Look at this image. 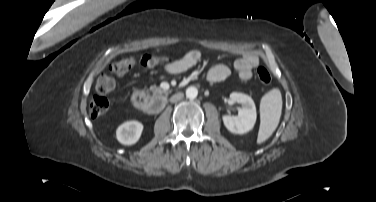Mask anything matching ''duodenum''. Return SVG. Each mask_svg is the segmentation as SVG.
Returning <instances> with one entry per match:
<instances>
[{"mask_svg": "<svg viewBox=\"0 0 376 202\" xmlns=\"http://www.w3.org/2000/svg\"><path fill=\"white\" fill-rule=\"evenodd\" d=\"M131 102L137 110L147 114H155L165 106L166 97L164 95L149 96L138 91L132 94Z\"/></svg>", "mask_w": 376, "mask_h": 202, "instance_id": "duodenum-1", "label": "duodenum"}]
</instances>
